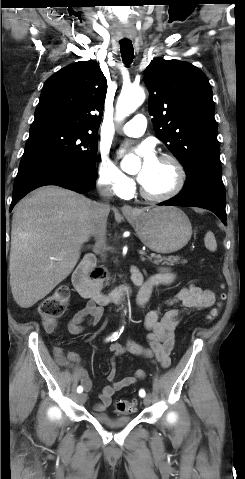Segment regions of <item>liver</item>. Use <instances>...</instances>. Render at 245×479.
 Listing matches in <instances>:
<instances>
[{"label":"liver","mask_w":245,"mask_h":479,"mask_svg":"<svg viewBox=\"0 0 245 479\" xmlns=\"http://www.w3.org/2000/svg\"><path fill=\"white\" fill-rule=\"evenodd\" d=\"M90 203L73 191L44 186L15 206L9 272L20 307H32L73 271L93 235Z\"/></svg>","instance_id":"obj_1"}]
</instances>
